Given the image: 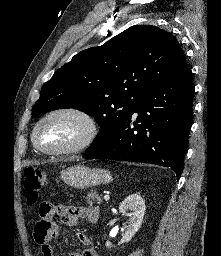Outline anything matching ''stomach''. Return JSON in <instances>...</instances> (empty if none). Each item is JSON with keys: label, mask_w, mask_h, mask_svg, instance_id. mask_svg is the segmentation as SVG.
<instances>
[{"label": "stomach", "mask_w": 221, "mask_h": 256, "mask_svg": "<svg viewBox=\"0 0 221 256\" xmlns=\"http://www.w3.org/2000/svg\"><path fill=\"white\" fill-rule=\"evenodd\" d=\"M61 179L76 189H86L97 185H106L113 180L112 175L105 169H93L84 165H75L61 172Z\"/></svg>", "instance_id": "1"}]
</instances>
